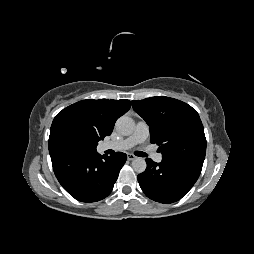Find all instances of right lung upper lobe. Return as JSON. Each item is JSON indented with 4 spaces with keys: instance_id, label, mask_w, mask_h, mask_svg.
Returning <instances> with one entry per match:
<instances>
[{
    "instance_id": "right-lung-upper-lobe-1",
    "label": "right lung upper lobe",
    "mask_w": 254,
    "mask_h": 254,
    "mask_svg": "<svg viewBox=\"0 0 254 254\" xmlns=\"http://www.w3.org/2000/svg\"><path fill=\"white\" fill-rule=\"evenodd\" d=\"M130 107L126 99H87L66 107L51 125L50 156L61 152L96 153L98 142L111 134L116 120Z\"/></svg>"
}]
</instances>
